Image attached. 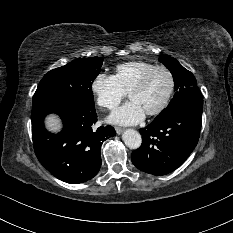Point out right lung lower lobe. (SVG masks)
I'll return each mask as SVG.
<instances>
[{
    "label": "right lung lower lobe",
    "mask_w": 233,
    "mask_h": 233,
    "mask_svg": "<svg viewBox=\"0 0 233 233\" xmlns=\"http://www.w3.org/2000/svg\"><path fill=\"white\" fill-rule=\"evenodd\" d=\"M58 114L64 122L58 134L44 128V117ZM32 138L40 163L56 178L71 184L95 177L101 167L102 143L116 135L110 125L93 129L97 122L95 109L62 102L32 104Z\"/></svg>",
    "instance_id": "right-lung-lower-lobe-1"
}]
</instances>
